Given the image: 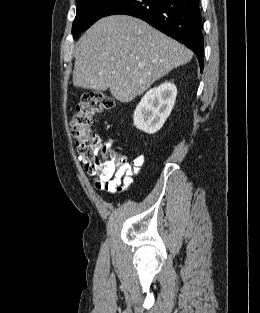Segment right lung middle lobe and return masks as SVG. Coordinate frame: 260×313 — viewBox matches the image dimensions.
Instances as JSON below:
<instances>
[{
	"mask_svg": "<svg viewBox=\"0 0 260 313\" xmlns=\"http://www.w3.org/2000/svg\"><path fill=\"white\" fill-rule=\"evenodd\" d=\"M118 0H77V13L72 34L75 38L102 18L106 11Z\"/></svg>",
	"mask_w": 260,
	"mask_h": 313,
	"instance_id": "obj_1",
	"label": "right lung middle lobe"
}]
</instances>
